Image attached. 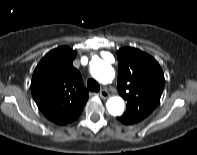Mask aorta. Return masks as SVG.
I'll list each match as a JSON object with an SVG mask.
<instances>
[{
	"mask_svg": "<svg viewBox=\"0 0 197 155\" xmlns=\"http://www.w3.org/2000/svg\"><path fill=\"white\" fill-rule=\"evenodd\" d=\"M90 73L96 80L102 83H110L114 79L113 67L101 59L91 62ZM106 107L111 115L119 116L125 109L124 100L119 96L111 97L107 100Z\"/></svg>",
	"mask_w": 197,
	"mask_h": 155,
	"instance_id": "1",
	"label": "aorta"
}]
</instances>
